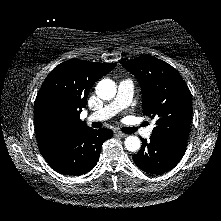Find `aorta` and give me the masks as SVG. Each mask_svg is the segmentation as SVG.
<instances>
[{"label": "aorta", "mask_w": 221, "mask_h": 221, "mask_svg": "<svg viewBox=\"0 0 221 221\" xmlns=\"http://www.w3.org/2000/svg\"><path fill=\"white\" fill-rule=\"evenodd\" d=\"M117 87L114 81L110 79L101 80L96 86V94L102 100H111L115 97ZM141 147V141L136 136H128L125 139V148L128 151L135 152Z\"/></svg>", "instance_id": "obj_1"}]
</instances>
